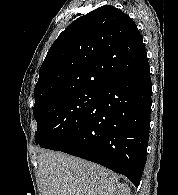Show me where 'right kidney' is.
I'll list each match as a JSON object with an SVG mask.
<instances>
[{
  "instance_id": "right-kidney-1",
  "label": "right kidney",
  "mask_w": 178,
  "mask_h": 195,
  "mask_svg": "<svg viewBox=\"0 0 178 195\" xmlns=\"http://www.w3.org/2000/svg\"><path fill=\"white\" fill-rule=\"evenodd\" d=\"M103 195H131L130 188L123 183H117L109 187Z\"/></svg>"
}]
</instances>
